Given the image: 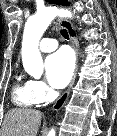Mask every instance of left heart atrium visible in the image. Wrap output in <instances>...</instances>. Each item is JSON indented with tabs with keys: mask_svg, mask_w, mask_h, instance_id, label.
I'll list each match as a JSON object with an SVG mask.
<instances>
[{
	"mask_svg": "<svg viewBox=\"0 0 117 136\" xmlns=\"http://www.w3.org/2000/svg\"><path fill=\"white\" fill-rule=\"evenodd\" d=\"M75 67L74 55L68 48H61L46 60L49 83L57 89L64 88L70 81Z\"/></svg>",
	"mask_w": 117,
	"mask_h": 136,
	"instance_id": "obj_1",
	"label": "left heart atrium"
}]
</instances>
